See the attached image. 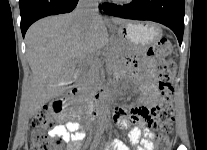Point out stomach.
Listing matches in <instances>:
<instances>
[{"label": "stomach", "mask_w": 207, "mask_h": 150, "mask_svg": "<svg viewBox=\"0 0 207 150\" xmlns=\"http://www.w3.org/2000/svg\"><path fill=\"white\" fill-rule=\"evenodd\" d=\"M115 35V47L123 56L127 53L125 45L134 46L140 50L150 46L162 35V29L156 24L126 22L118 27H112Z\"/></svg>", "instance_id": "stomach-1"}]
</instances>
